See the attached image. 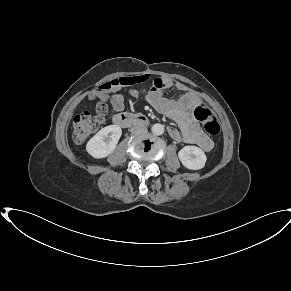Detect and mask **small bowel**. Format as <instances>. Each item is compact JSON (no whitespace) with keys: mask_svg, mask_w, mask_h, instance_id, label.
<instances>
[{"mask_svg":"<svg viewBox=\"0 0 291 291\" xmlns=\"http://www.w3.org/2000/svg\"><path fill=\"white\" fill-rule=\"evenodd\" d=\"M176 88L183 92L177 99H168L164 96L166 90ZM119 88L112 91L111 104L115 111L124 109V98L117 93ZM100 98L97 94L89 95L90 100ZM147 101L160 113L173 119L180 130L170 127L169 134L175 141H184L188 144L199 146L204 151H210L213 147L212 140L207 137L197 122L192 117L190 110L200 104V99L182 83L167 77L156 78L151 90L146 94Z\"/></svg>","mask_w":291,"mask_h":291,"instance_id":"small-bowel-1","label":"small bowel"}]
</instances>
